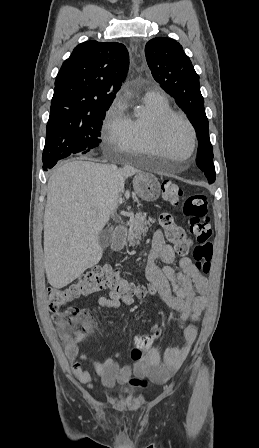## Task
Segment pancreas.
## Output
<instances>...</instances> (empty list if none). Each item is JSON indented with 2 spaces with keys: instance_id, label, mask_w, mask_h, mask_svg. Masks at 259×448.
<instances>
[{
  "instance_id": "obj_1",
  "label": "pancreas",
  "mask_w": 259,
  "mask_h": 448,
  "mask_svg": "<svg viewBox=\"0 0 259 448\" xmlns=\"http://www.w3.org/2000/svg\"><path fill=\"white\" fill-rule=\"evenodd\" d=\"M144 212H139V214H135L134 220L129 224V240L131 244H138L139 240H141L142 236H146V232L148 230V226L154 224L155 220L153 218H148Z\"/></svg>"
}]
</instances>
